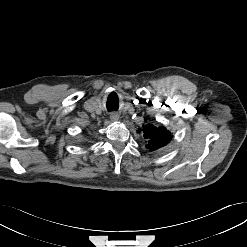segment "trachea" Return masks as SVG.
<instances>
[{
  "mask_svg": "<svg viewBox=\"0 0 247 247\" xmlns=\"http://www.w3.org/2000/svg\"><path fill=\"white\" fill-rule=\"evenodd\" d=\"M116 109H117V108H115V107H110V108L108 107V110H109V111L116 110Z\"/></svg>",
  "mask_w": 247,
  "mask_h": 247,
  "instance_id": "trachea-1",
  "label": "trachea"
}]
</instances>
